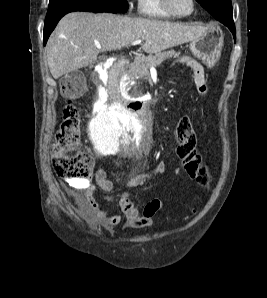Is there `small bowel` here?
Segmentation results:
<instances>
[{"mask_svg":"<svg viewBox=\"0 0 267 298\" xmlns=\"http://www.w3.org/2000/svg\"><path fill=\"white\" fill-rule=\"evenodd\" d=\"M181 63L188 66L192 71V77L196 90L201 98L205 99L209 92V82L205 75L203 67L190 57H183ZM166 163H159L153 173L162 174L168 172ZM176 174L181 173L180 168L175 169ZM149 175H138L128 181L127 187H137L146 182ZM95 180L98 187L104 192L113 190V183L107 178L104 169L96 171ZM95 186L89 185L85 188L84 195H80L73 190H68V195L74 200L75 204L82 210L85 217L92 223L101 224L106 227L118 225L121 222V216L108 214L100 207L95 198ZM120 209L126 220L128 228H146L152 225L154 216L162 209L163 202L159 198L151 199L143 209L136 207L127 192L122 193L119 199Z\"/></svg>","mask_w":267,"mask_h":298,"instance_id":"small-bowel-1","label":"small bowel"}]
</instances>
